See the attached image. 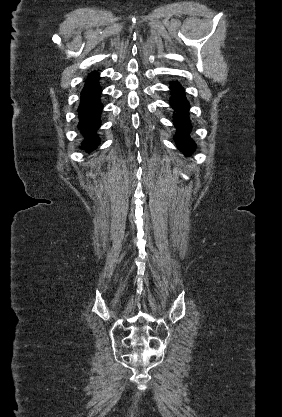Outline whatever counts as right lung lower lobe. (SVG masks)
Instances as JSON below:
<instances>
[{"label":"right lung lower lobe","instance_id":"98d812e1","mask_svg":"<svg viewBox=\"0 0 282 417\" xmlns=\"http://www.w3.org/2000/svg\"><path fill=\"white\" fill-rule=\"evenodd\" d=\"M97 80V73L89 74L81 93V102L78 108L79 129L85 138L82 148L87 152L94 150L100 142L96 131L100 127V114L103 105L100 102L101 88Z\"/></svg>","mask_w":282,"mask_h":417}]
</instances>
